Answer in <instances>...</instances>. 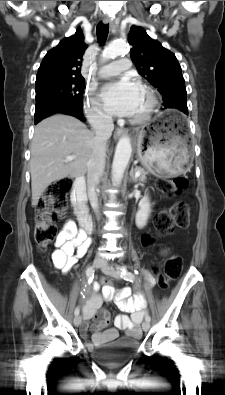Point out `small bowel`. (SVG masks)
<instances>
[{
	"mask_svg": "<svg viewBox=\"0 0 225 395\" xmlns=\"http://www.w3.org/2000/svg\"><path fill=\"white\" fill-rule=\"evenodd\" d=\"M91 240L83 230L78 231L73 222H67L61 230L56 240V250L52 254V259L56 268L64 272L70 271L83 257L90 247ZM145 277L150 284L155 282L151 272L145 271ZM99 285H93V294L83 306V324L81 333L83 337L87 336L89 321L96 318V323L92 326L94 333L92 342L94 345H102L118 337V330L125 331L127 335L133 338H140L141 331L139 328L143 316L145 300L142 295L137 294L131 297L129 288H123L115 293L112 285H103V296L110 300L113 297L118 308L123 312H128L131 316L120 314L116 316L114 323L115 328H108L110 324V315L107 311L101 310L102 299L98 294Z\"/></svg>",
	"mask_w": 225,
	"mask_h": 395,
	"instance_id": "small-bowel-1",
	"label": "small bowel"
}]
</instances>
